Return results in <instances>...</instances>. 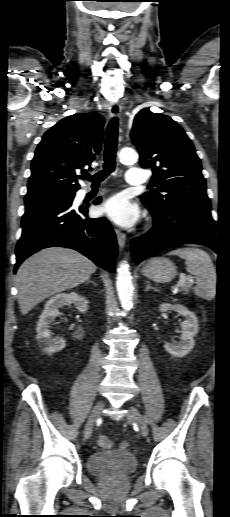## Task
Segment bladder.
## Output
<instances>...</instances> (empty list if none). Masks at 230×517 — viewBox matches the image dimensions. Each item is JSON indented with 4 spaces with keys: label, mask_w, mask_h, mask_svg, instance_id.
<instances>
[{
    "label": "bladder",
    "mask_w": 230,
    "mask_h": 517,
    "mask_svg": "<svg viewBox=\"0 0 230 517\" xmlns=\"http://www.w3.org/2000/svg\"><path fill=\"white\" fill-rule=\"evenodd\" d=\"M88 471L99 477H125L137 468L134 455L126 451L105 450L93 453L87 463Z\"/></svg>",
    "instance_id": "obj_1"
}]
</instances>
